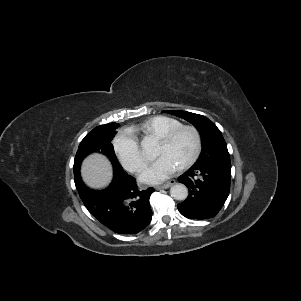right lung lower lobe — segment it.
Wrapping results in <instances>:
<instances>
[{
    "mask_svg": "<svg viewBox=\"0 0 301 301\" xmlns=\"http://www.w3.org/2000/svg\"><path fill=\"white\" fill-rule=\"evenodd\" d=\"M74 177L85 207L111 231L133 235L149 225L152 218L149 198L154 189L139 190L135 178L122 167L114 168V178L103 190L89 189L82 184L78 174Z\"/></svg>",
    "mask_w": 301,
    "mask_h": 301,
    "instance_id": "right-lung-lower-lobe-1",
    "label": "right lung lower lobe"
}]
</instances>
